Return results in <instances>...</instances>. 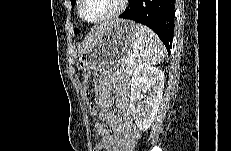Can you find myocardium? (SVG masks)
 Wrapping results in <instances>:
<instances>
[{"instance_id": "myocardium-1", "label": "myocardium", "mask_w": 231, "mask_h": 151, "mask_svg": "<svg viewBox=\"0 0 231 151\" xmlns=\"http://www.w3.org/2000/svg\"><path fill=\"white\" fill-rule=\"evenodd\" d=\"M127 2H128L127 0H119L118 7L113 12L97 19H87L83 14L85 0H80L78 6V14L84 22L91 23V24H100L118 17L125 9Z\"/></svg>"}]
</instances>
